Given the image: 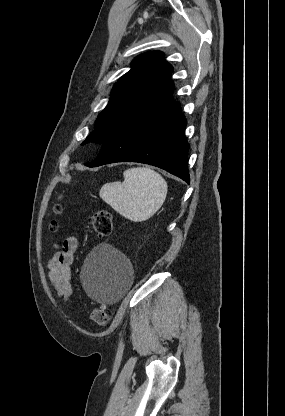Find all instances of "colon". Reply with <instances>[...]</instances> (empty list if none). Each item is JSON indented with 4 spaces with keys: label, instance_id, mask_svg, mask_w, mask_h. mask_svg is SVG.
Returning a JSON list of instances; mask_svg holds the SVG:
<instances>
[{
    "label": "colon",
    "instance_id": "5ec220e1",
    "mask_svg": "<svg viewBox=\"0 0 285 416\" xmlns=\"http://www.w3.org/2000/svg\"><path fill=\"white\" fill-rule=\"evenodd\" d=\"M62 212V206L56 204L54 206V213L60 214ZM89 222L95 233L101 237L110 235L112 231V216L108 210L99 209L92 213L89 218ZM58 227L56 221H52L50 224L51 230H56ZM112 311L105 305H99L95 307L90 313V320L98 327H105L112 318Z\"/></svg>",
    "mask_w": 285,
    "mask_h": 416
}]
</instances>
